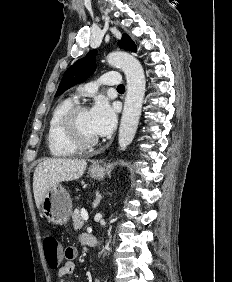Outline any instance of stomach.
<instances>
[{"label": "stomach", "instance_id": "0dacf381", "mask_svg": "<svg viewBox=\"0 0 232 282\" xmlns=\"http://www.w3.org/2000/svg\"><path fill=\"white\" fill-rule=\"evenodd\" d=\"M106 169L99 164H93L88 173L91 178L101 179ZM41 210L48 221L63 225L67 223L72 212V200L69 193L59 184L46 192L43 197Z\"/></svg>", "mask_w": 232, "mask_h": 282}]
</instances>
